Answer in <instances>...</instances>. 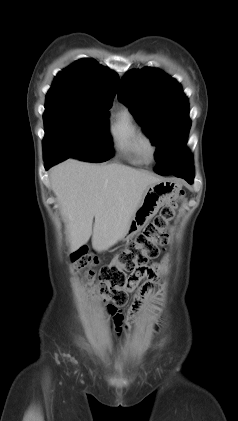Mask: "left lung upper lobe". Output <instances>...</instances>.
<instances>
[{"instance_id": "5c2ea615", "label": "left lung upper lobe", "mask_w": 238, "mask_h": 421, "mask_svg": "<svg viewBox=\"0 0 238 421\" xmlns=\"http://www.w3.org/2000/svg\"><path fill=\"white\" fill-rule=\"evenodd\" d=\"M118 99L157 147V173L193 165L185 150L191 126L188 99L175 79L155 68L131 70L121 80Z\"/></svg>"}]
</instances>
